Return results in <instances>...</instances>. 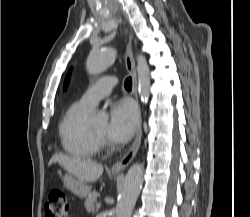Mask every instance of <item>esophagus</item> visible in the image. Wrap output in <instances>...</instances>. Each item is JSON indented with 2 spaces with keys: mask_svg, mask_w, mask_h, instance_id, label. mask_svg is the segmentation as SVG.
Masks as SVG:
<instances>
[{
  "mask_svg": "<svg viewBox=\"0 0 250 217\" xmlns=\"http://www.w3.org/2000/svg\"><path fill=\"white\" fill-rule=\"evenodd\" d=\"M125 64H126V68H127L128 73L132 77V82H133L132 91H133V94L135 96L136 102L138 104V110H139V114H140V124H139L136 138H135L132 146L130 147L129 151L118 162H116L112 166V168H111L112 172H121L124 169H126V167L132 162L136 153L138 152V149H139L140 144H141V138H142L141 110H140V105H139L138 95H137V75H136L135 60H134V56H133L132 38L131 37L129 38V43H128V47H127V51H126Z\"/></svg>",
  "mask_w": 250,
  "mask_h": 217,
  "instance_id": "esophagus-1",
  "label": "esophagus"
}]
</instances>
